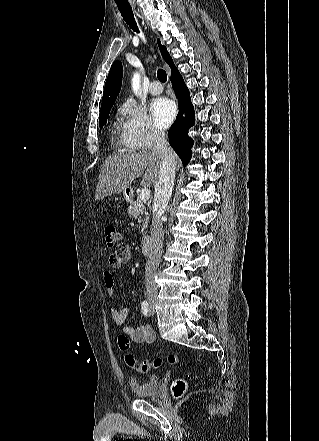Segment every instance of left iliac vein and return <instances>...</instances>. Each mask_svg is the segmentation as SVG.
<instances>
[{
    "label": "left iliac vein",
    "mask_w": 319,
    "mask_h": 441,
    "mask_svg": "<svg viewBox=\"0 0 319 441\" xmlns=\"http://www.w3.org/2000/svg\"><path fill=\"white\" fill-rule=\"evenodd\" d=\"M154 313V310H153V307L151 306L150 307V314H153Z\"/></svg>",
    "instance_id": "1"
}]
</instances>
